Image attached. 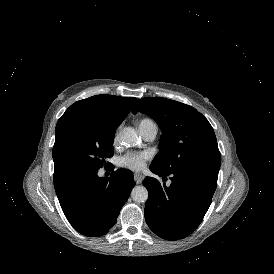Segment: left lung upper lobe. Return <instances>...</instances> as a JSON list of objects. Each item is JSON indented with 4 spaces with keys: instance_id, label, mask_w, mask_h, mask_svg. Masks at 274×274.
Masks as SVG:
<instances>
[{
    "instance_id": "1",
    "label": "left lung upper lobe",
    "mask_w": 274,
    "mask_h": 274,
    "mask_svg": "<svg viewBox=\"0 0 274 274\" xmlns=\"http://www.w3.org/2000/svg\"><path fill=\"white\" fill-rule=\"evenodd\" d=\"M162 130L160 151L151 163L164 172L202 169L219 172L221 154L212 126L195 108L160 97L142 98L133 108Z\"/></svg>"
}]
</instances>
